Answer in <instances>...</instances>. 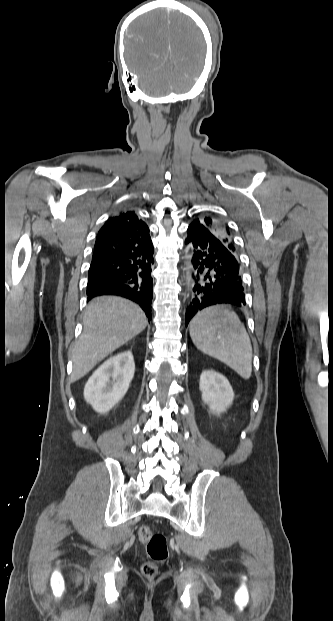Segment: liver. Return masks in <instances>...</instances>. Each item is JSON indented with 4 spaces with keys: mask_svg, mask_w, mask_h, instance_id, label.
<instances>
[{
    "mask_svg": "<svg viewBox=\"0 0 333 621\" xmlns=\"http://www.w3.org/2000/svg\"><path fill=\"white\" fill-rule=\"evenodd\" d=\"M144 312L131 301L101 296L86 309L83 332L72 349V380L91 371L114 350L140 334L147 326Z\"/></svg>",
    "mask_w": 333,
    "mask_h": 621,
    "instance_id": "obj_1",
    "label": "liver"
}]
</instances>
